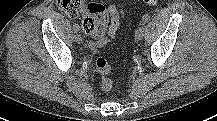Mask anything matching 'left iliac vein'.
<instances>
[{"mask_svg": "<svg viewBox=\"0 0 217 121\" xmlns=\"http://www.w3.org/2000/svg\"><path fill=\"white\" fill-rule=\"evenodd\" d=\"M144 32H145V29L143 26L138 27L135 31V39L138 41L141 40L144 36Z\"/></svg>", "mask_w": 217, "mask_h": 121, "instance_id": "left-iliac-vein-1", "label": "left iliac vein"}]
</instances>
